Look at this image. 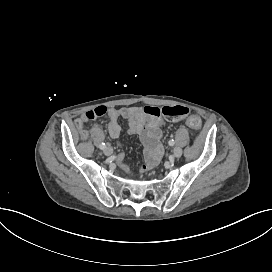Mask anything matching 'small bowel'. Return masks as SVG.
Listing matches in <instances>:
<instances>
[{
  "label": "small bowel",
  "instance_id": "obj_1",
  "mask_svg": "<svg viewBox=\"0 0 272 272\" xmlns=\"http://www.w3.org/2000/svg\"><path fill=\"white\" fill-rule=\"evenodd\" d=\"M108 122L107 130L112 139H117L120 134L119 120L121 118L128 121L129 135H138L141 138L146 150V162L142 165V171L150 170L162 156L163 148L160 140L163 136L161 125L163 121L160 117L155 120H149L145 115V108L139 106L122 107V108H109L108 109ZM82 117L76 121H81ZM179 120V119H173ZM150 155V157H148ZM123 169L130 176L134 174L127 166Z\"/></svg>",
  "mask_w": 272,
  "mask_h": 272
}]
</instances>
